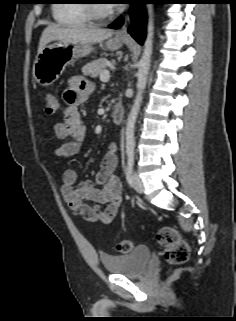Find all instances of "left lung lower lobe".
Masks as SVG:
<instances>
[{
	"label": "left lung lower lobe",
	"mask_w": 236,
	"mask_h": 321,
	"mask_svg": "<svg viewBox=\"0 0 236 321\" xmlns=\"http://www.w3.org/2000/svg\"><path fill=\"white\" fill-rule=\"evenodd\" d=\"M159 4L157 0H132L130 4L132 7L130 9L131 16V26L129 28V33L131 36L139 43L143 44L146 37V13L142 7V4ZM123 24V18H118L109 27L117 29Z\"/></svg>",
	"instance_id": "0a47b994"
}]
</instances>
